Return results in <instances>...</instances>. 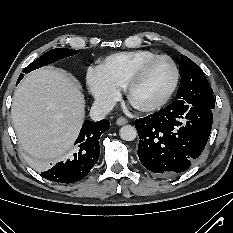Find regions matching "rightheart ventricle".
<instances>
[{
    "mask_svg": "<svg viewBox=\"0 0 233 233\" xmlns=\"http://www.w3.org/2000/svg\"><path fill=\"white\" fill-rule=\"evenodd\" d=\"M155 55L157 54L145 49L118 52L106 57L100 67L116 87L122 88L134 69Z\"/></svg>",
    "mask_w": 233,
    "mask_h": 233,
    "instance_id": "right-heart-ventricle-1",
    "label": "right heart ventricle"
}]
</instances>
